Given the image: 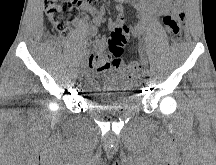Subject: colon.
Here are the masks:
<instances>
[{
    "label": "colon",
    "instance_id": "1",
    "mask_svg": "<svg viewBox=\"0 0 216 165\" xmlns=\"http://www.w3.org/2000/svg\"><path fill=\"white\" fill-rule=\"evenodd\" d=\"M97 0H46L45 14L48 23L59 35L65 36L70 27L79 18L82 5L96 4ZM185 14L174 12L164 17L163 22L170 39L177 37L183 27ZM130 28L127 25L116 26L108 38V49L102 53H93L90 57V68L103 73L110 67L128 75H136L143 69V63L133 61L125 64L122 60Z\"/></svg>",
    "mask_w": 216,
    "mask_h": 165
}]
</instances>
